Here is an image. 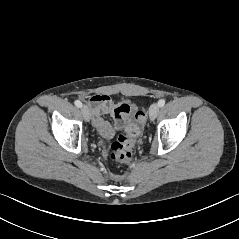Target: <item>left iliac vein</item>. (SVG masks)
<instances>
[{"mask_svg": "<svg viewBox=\"0 0 239 239\" xmlns=\"http://www.w3.org/2000/svg\"><path fill=\"white\" fill-rule=\"evenodd\" d=\"M159 112V105L157 103H154L149 108V118L151 121H153Z\"/></svg>", "mask_w": 239, "mask_h": 239, "instance_id": "1", "label": "left iliac vein"}]
</instances>
